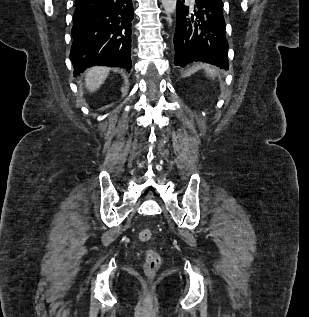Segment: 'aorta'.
Here are the masks:
<instances>
[{"label": "aorta", "mask_w": 309, "mask_h": 317, "mask_svg": "<svg viewBox=\"0 0 309 317\" xmlns=\"http://www.w3.org/2000/svg\"><path fill=\"white\" fill-rule=\"evenodd\" d=\"M161 2L167 14H172L175 12L177 0H161Z\"/></svg>", "instance_id": "1"}]
</instances>
